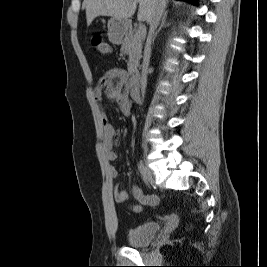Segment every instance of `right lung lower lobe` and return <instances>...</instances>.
<instances>
[{"instance_id": "98d812e1", "label": "right lung lower lobe", "mask_w": 267, "mask_h": 267, "mask_svg": "<svg viewBox=\"0 0 267 267\" xmlns=\"http://www.w3.org/2000/svg\"><path fill=\"white\" fill-rule=\"evenodd\" d=\"M181 1H185L194 5H197V0H181Z\"/></svg>"}]
</instances>
